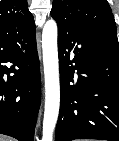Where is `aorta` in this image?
<instances>
[{
	"label": "aorta",
	"mask_w": 119,
	"mask_h": 141,
	"mask_svg": "<svg viewBox=\"0 0 119 141\" xmlns=\"http://www.w3.org/2000/svg\"><path fill=\"white\" fill-rule=\"evenodd\" d=\"M42 49L45 74V111L42 141H52L60 106L57 24L52 19L44 25Z\"/></svg>",
	"instance_id": "obj_1"
}]
</instances>
